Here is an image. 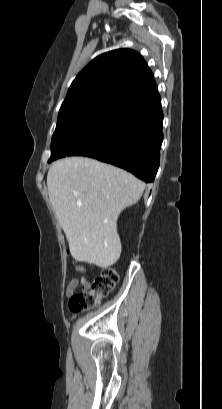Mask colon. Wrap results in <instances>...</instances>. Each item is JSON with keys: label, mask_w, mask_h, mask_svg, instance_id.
Returning a JSON list of instances; mask_svg holds the SVG:
<instances>
[{"label": "colon", "mask_w": 222, "mask_h": 409, "mask_svg": "<svg viewBox=\"0 0 222 409\" xmlns=\"http://www.w3.org/2000/svg\"><path fill=\"white\" fill-rule=\"evenodd\" d=\"M83 269V267H79ZM118 273L112 267H105L96 276L87 291L74 294L69 300V309L73 313L84 312L96 307L102 298L106 297L118 282Z\"/></svg>", "instance_id": "obj_1"}]
</instances>
